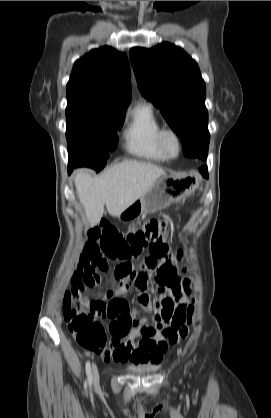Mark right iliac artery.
I'll use <instances>...</instances> for the list:
<instances>
[{"mask_svg": "<svg viewBox=\"0 0 271 418\" xmlns=\"http://www.w3.org/2000/svg\"><path fill=\"white\" fill-rule=\"evenodd\" d=\"M85 369H86V375H87L88 384H89V386H91L92 385V381H93V377H92V373H91V364H90L89 361H87L86 366H85Z\"/></svg>", "mask_w": 271, "mask_h": 418, "instance_id": "1", "label": "right iliac artery"}]
</instances>
